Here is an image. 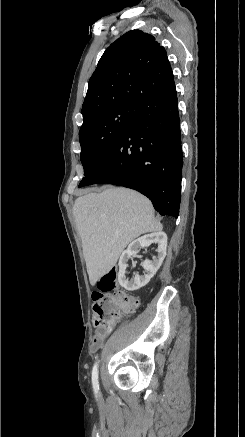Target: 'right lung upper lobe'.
<instances>
[{
  "label": "right lung upper lobe",
  "instance_id": "cb5924a9",
  "mask_svg": "<svg viewBox=\"0 0 245 437\" xmlns=\"http://www.w3.org/2000/svg\"><path fill=\"white\" fill-rule=\"evenodd\" d=\"M176 90L166 50L143 31L131 30L111 44L92 74L82 106L83 119L115 103L137 105Z\"/></svg>",
  "mask_w": 245,
  "mask_h": 437
}]
</instances>
